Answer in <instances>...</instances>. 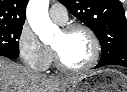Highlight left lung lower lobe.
<instances>
[{
  "label": "left lung lower lobe",
  "mask_w": 127,
  "mask_h": 92,
  "mask_svg": "<svg viewBox=\"0 0 127 92\" xmlns=\"http://www.w3.org/2000/svg\"><path fill=\"white\" fill-rule=\"evenodd\" d=\"M105 65H121L127 67V47L115 49L108 56L101 57L95 68Z\"/></svg>",
  "instance_id": "1"
}]
</instances>
